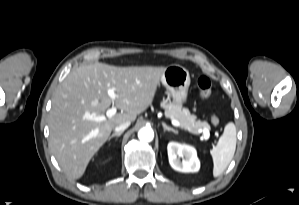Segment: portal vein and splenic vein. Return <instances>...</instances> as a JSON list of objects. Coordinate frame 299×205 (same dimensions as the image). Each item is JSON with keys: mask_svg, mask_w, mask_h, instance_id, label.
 <instances>
[{"mask_svg": "<svg viewBox=\"0 0 299 205\" xmlns=\"http://www.w3.org/2000/svg\"><path fill=\"white\" fill-rule=\"evenodd\" d=\"M107 94L113 101H115L116 93H115L114 89H108ZM116 112H117L116 107L109 108L106 112V117L111 118L116 114ZM94 120L103 121V120H105V117L104 116H96V117H94ZM172 125H174L176 127H181L180 122L175 120V119L172 120ZM204 134H205L206 137H209V132L208 131H205Z\"/></svg>", "mask_w": 299, "mask_h": 205, "instance_id": "obj_1", "label": "portal vein and splenic vein"}]
</instances>
